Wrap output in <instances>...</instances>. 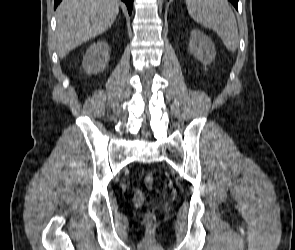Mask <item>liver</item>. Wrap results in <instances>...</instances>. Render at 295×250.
Returning <instances> with one entry per match:
<instances>
[{
  "mask_svg": "<svg viewBox=\"0 0 295 250\" xmlns=\"http://www.w3.org/2000/svg\"><path fill=\"white\" fill-rule=\"evenodd\" d=\"M118 13V0H63L57 8L59 57L108 30Z\"/></svg>",
  "mask_w": 295,
  "mask_h": 250,
  "instance_id": "liver-1",
  "label": "liver"
}]
</instances>
